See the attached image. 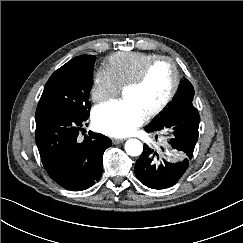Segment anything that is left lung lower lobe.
I'll list each match as a JSON object with an SVG mask.
<instances>
[{
  "instance_id": "1",
  "label": "left lung lower lobe",
  "mask_w": 243,
  "mask_h": 243,
  "mask_svg": "<svg viewBox=\"0 0 243 243\" xmlns=\"http://www.w3.org/2000/svg\"><path fill=\"white\" fill-rule=\"evenodd\" d=\"M192 115H194L192 121L186 120L185 123L178 121L180 118H191ZM173 116L175 118H169L164 127L174 126V138L171 139V146L185 158L181 162L171 163L162 159L159 153L144 145L143 153L135 164V175L142 184L149 188L165 189L173 186L185 173L189 166V160L193 156L200 122L198 111L191 103L186 106H179L177 115ZM161 129L155 124H149L145 128L149 133ZM161 149L164 152V148Z\"/></svg>"
}]
</instances>
